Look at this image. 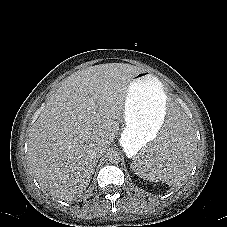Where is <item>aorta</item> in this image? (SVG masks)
<instances>
[{"instance_id": "obj_1", "label": "aorta", "mask_w": 227, "mask_h": 227, "mask_svg": "<svg viewBox=\"0 0 227 227\" xmlns=\"http://www.w3.org/2000/svg\"><path fill=\"white\" fill-rule=\"evenodd\" d=\"M108 158H109V162H111L112 164H118L121 159L119 153L117 152L110 153Z\"/></svg>"}]
</instances>
